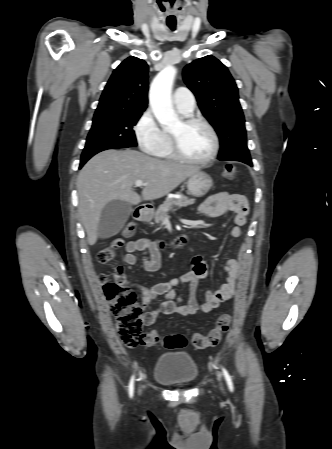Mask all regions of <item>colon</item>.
<instances>
[{
  "mask_svg": "<svg viewBox=\"0 0 332 449\" xmlns=\"http://www.w3.org/2000/svg\"><path fill=\"white\" fill-rule=\"evenodd\" d=\"M238 170L234 164H227L224 168V175L228 179L237 176ZM136 232V225L133 222L126 224L123 228L122 236L131 238ZM124 244L123 238L113 240L97 254L99 264L109 263L118 249ZM104 281V277L101 278ZM103 290L106 298L111 304V312L117 320V330L121 341L129 347L138 345L152 347L164 346L175 349L187 345L190 341L195 348L203 349L216 346L224 333H226L231 324V315L222 314L216 321L215 327L207 334H192L190 337L184 334H170L160 337L156 331L142 332V309L137 303L135 291L125 281L105 282Z\"/></svg>",
  "mask_w": 332,
  "mask_h": 449,
  "instance_id": "1",
  "label": "colon"
}]
</instances>
